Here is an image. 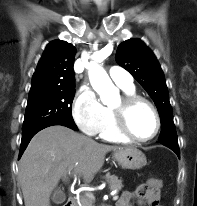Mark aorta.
<instances>
[{"label": "aorta", "mask_w": 197, "mask_h": 206, "mask_svg": "<svg viewBox=\"0 0 197 206\" xmlns=\"http://www.w3.org/2000/svg\"><path fill=\"white\" fill-rule=\"evenodd\" d=\"M89 80L93 89L100 95L101 101L108 104L114 98L117 89L105 70L97 63L87 65Z\"/></svg>", "instance_id": "1"}]
</instances>
